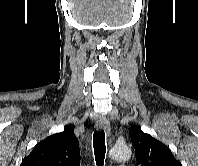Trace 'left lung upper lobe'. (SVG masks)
Instances as JSON below:
<instances>
[{"label":"left lung upper lobe","instance_id":"1","mask_svg":"<svg viewBox=\"0 0 198 166\" xmlns=\"http://www.w3.org/2000/svg\"><path fill=\"white\" fill-rule=\"evenodd\" d=\"M130 137L136 153V166H182L166 145L144 133L140 127H132Z\"/></svg>","mask_w":198,"mask_h":166}]
</instances>
